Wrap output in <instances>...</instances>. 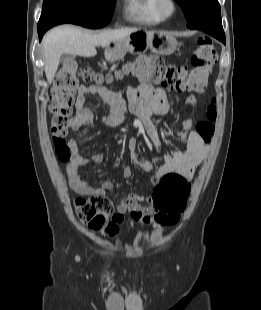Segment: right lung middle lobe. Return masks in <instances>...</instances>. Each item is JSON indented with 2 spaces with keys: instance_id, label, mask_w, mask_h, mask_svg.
Instances as JSON below:
<instances>
[{
  "instance_id": "obj_1",
  "label": "right lung middle lobe",
  "mask_w": 261,
  "mask_h": 310,
  "mask_svg": "<svg viewBox=\"0 0 261 310\" xmlns=\"http://www.w3.org/2000/svg\"><path fill=\"white\" fill-rule=\"evenodd\" d=\"M115 0H43L38 28L73 23L100 28L112 18Z\"/></svg>"
}]
</instances>
